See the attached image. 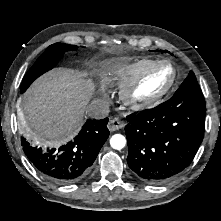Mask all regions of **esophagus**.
Here are the masks:
<instances>
[{
    "instance_id": "1",
    "label": "esophagus",
    "mask_w": 221,
    "mask_h": 221,
    "mask_svg": "<svg viewBox=\"0 0 221 221\" xmlns=\"http://www.w3.org/2000/svg\"><path fill=\"white\" fill-rule=\"evenodd\" d=\"M124 126H125V122L119 118H114V119L110 120V122L108 123V129L110 131L119 130V129L123 128Z\"/></svg>"
}]
</instances>
